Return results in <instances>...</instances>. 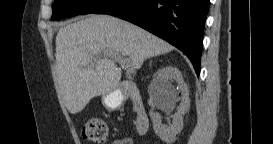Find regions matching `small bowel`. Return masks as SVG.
Listing matches in <instances>:
<instances>
[{
    "instance_id": "obj_1",
    "label": "small bowel",
    "mask_w": 273,
    "mask_h": 144,
    "mask_svg": "<svg viewBox=\"0 0 273 144\" xmlns=\"http://www.w3.org/2000/svg\"><path fill=\"white\" fill-rule=\"evenodd\" d=\"M114 143L115 144H128L129 140L126 138H123V139L116 140Z\"/></svg>"
}]
</instances>
